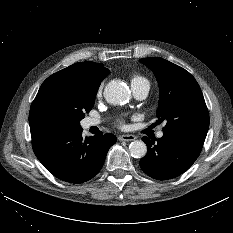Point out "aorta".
Segmentation results:
<instances>
[{
    "label": "aorta",
    "instance_id": "aorta-1",
    "mask_svg": "<svg viewBox=\"0 0 233 233\" xmlns=\"http://www.w3.org/2000/svg\"><path fill=\"white\" fill-rule=\"evenodd\" d=\"M106 101L113 105H122L130 99V90L119 81H110L104 89ZM129 153L134 158H142L147 153V146L143 141H133L129 145Z\"/></svg>",
    "mask_w": 233,
    "mask_h": 233
}]
</instances>
